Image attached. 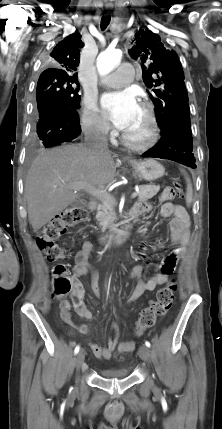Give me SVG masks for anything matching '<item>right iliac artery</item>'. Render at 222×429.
I'll return each mask as SVG.
<instances>
[{
	"instance_id": "right-iliac-artery-1",
	"label": "right iliac artery",
	"mask_w": 222,
	"mask_h": 429,
	"mask_svg": "<svg viewBox=\"0 0 222 429\" xmlns=\"http://www.w3.org/2000/svg\"><path fill=\"white\" fill-rule=\"evenodd\" d=\"M79 350H80V346L78 345V346H76L74 353L77 354L79 352Z\"/></svg>"
}]
</instances>
